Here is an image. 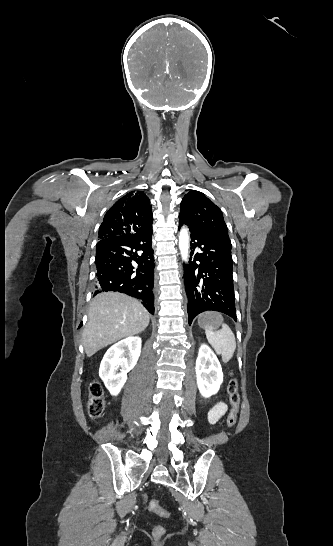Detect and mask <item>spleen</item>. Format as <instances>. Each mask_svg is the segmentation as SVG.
<instances>
[{"instance_id":"1","label":"spleen","mask_w":333,"mask_h":546,"mask_svg":"<svg viewBox=\"0 0 333 546\" xmlns=\"http://www.w3.org/2000/svg\"><path fill=\"white\" fill-rule=\"evenodd\" d=\"M216 315L222 323V328L216 331L211 325H207L205 327V334L215 352L221 354L223 362L227 363L231 360L236 350V340L230 327L223 323L222 315L218 313Z\"/></svg>"}]
</instances>
